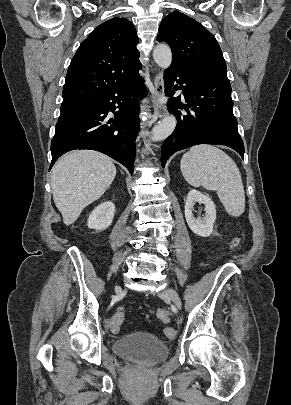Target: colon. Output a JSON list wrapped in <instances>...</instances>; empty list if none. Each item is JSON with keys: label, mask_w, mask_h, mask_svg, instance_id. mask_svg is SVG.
<instances>
[{"label": "colon", "mask_w": 291, "mask_h": 405, "mask_svg": "<svg viewBox=\"0 0 291 405\" xmlns=\"http://www.w3.org/2000/svg\"><path fill=\"white\" fill-rule=\"evenodd\" d=\"M232 247L234 249H239L240 242L239 240H235L232 243ZM157 316L160 320L164 322H168L169 320V313L165 309H158ZM125 318V310L124 308H119L109 319H108V327L113 333L119 332ZM164 335L167 339L172 340L176 337L177 331L173 326H166L163 329Z\"/></svg>", "instance_id": "colon-1"}]
</instances>
